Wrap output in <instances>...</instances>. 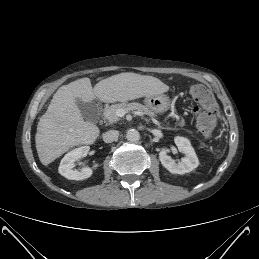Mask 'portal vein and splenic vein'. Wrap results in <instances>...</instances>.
Wrapping results in <instances>:
<instances>
[{
    "mask_svg": "<svg viewBox=\"0 0 259 259\" xmlns=\"http://www.w3.org/2000/svg\"><path fill=\"white\" fill-rule=\"evenodd\" d=\"M125 111L124 110H118L117 111V116H119V117H122V116H124L125 115Z\"/></svg>",
    "mask_w": 259,
    "mask_h": 259,
    "instance_id": "1",
    "label": "portal vein and splenic vein"
}]
</instances>
